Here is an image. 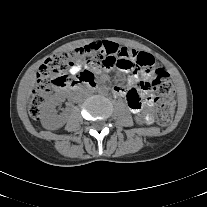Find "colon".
<instances>
[{
	"label": "colon",
	"instance_id": "1",
	"mask_svg": "<svg viewBox=\"0 0 207 207\" xmlns=\"http://www.w3.org/2000/svg\"><path fill=\"white\" fill-rule=\"evenodd\" d=\"M157 63L156 57L150 53L120 47L110 41H100L56 53L40 67L29 98V114L33 119H39L41 108L49 98L53 87L93 81V75L90 72H85L75 79L68 78L64 72L75 64L105 69L115 67L122 70L139 69L149 72L156 68ZM147 88L155 94L158 125L162 127L169 125L175 107L173 101L175 89L169 73L164 68H156Z\"/></svg>",
	"mask_w": 207,
	"mask_h": 207
}]
</instances>
